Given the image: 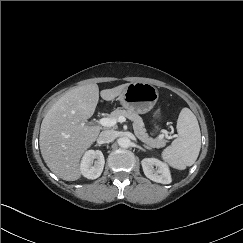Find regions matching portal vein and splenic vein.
Wrapping results in <instances>:
<instances>
[{"instance_id": "1", "label": "portal vein and splenic vein", "mask_w": 243, "mask_h": 243, "mask_svg": "<svg viewBox=\"0 0 243 243\" xmlns=\"http://www.w3.org/2000/svg\"><path fill=\"white\" fill-rule=\"evenodd\" d=\"M126 121L124 116H120L118 119L115 118H101L98 123L104 127H112L115 126L117 122L123 123Z\"/></svg>"}]
</instances>
